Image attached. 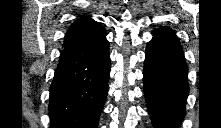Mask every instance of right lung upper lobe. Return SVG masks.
Wrapping results in <instances>:
<instances>
[{"label": "right lung upper lobe", "mask_w": 221, "mask_h": 128, "mask_svg": "<svg viewBox=\"0 0 221 128\" xmlns=\"http://www.w3.org/2000/svg\"><path fill=\"white\" fill-rule=\"evenodd\" d=\"M106 35L104 27L87 16L77 19L68 29L64 47L83 45L98 41Z\"/></svg>", "instance_id": "cb5924a9"}]
</instances>
